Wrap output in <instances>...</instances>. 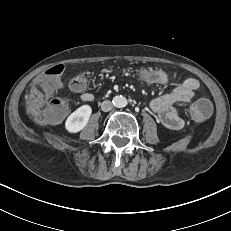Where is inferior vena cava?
Instances as JSON below:
<instances>
[{"mask_svg":"<svg viewBox=\"0 0 231 231\" xmlns=\"http://www.w3.org/2000/svg\"><path fill=\"white\" fill-rule=\"evenodd\" d=\"M112 108H113V104H112V102L109 101V100H105V101H103L102 104H101V109H102V111H104V112H108V111H110Z\"/></svg>","mask_w":231,"mask_h":231,"instance_id":"1","label":"inferior vena cava"}]
</instances>
